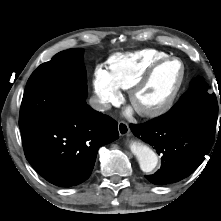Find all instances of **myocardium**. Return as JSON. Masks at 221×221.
I'll list each match as a JSON object with an SVG mask.
<instances>
[{
  "mask_svg": "<svg viewBox=\"0 0 221 221\" xmlns=\"http://www.w3.org/2000/svg\"><path fill=\"white\" fill-rule=\"evenodd\" d=\"M170 62H179L182 67V74L179 80L178 85L176 86L175 90L171 94V96L161 105L154 107V108H140L135 105V97L137 93L146 86L151 78L154 76L156 71L165 64ZM187 80V68L183 60L177 57H166L161 60H158L154 64H152L148 70L136 81L132 84V86L128 89V97L131 105L135 108L136 112L144 117L149 119L158 118L160 116L165 115L168 113L175 103L177 102Z\"/></svg>",
  "mask_w": 221,
  "mask_h": 221,
  "instance_id": "obj_1",
  "label": "myocardium"
}]
</instances>
